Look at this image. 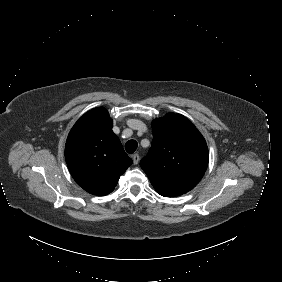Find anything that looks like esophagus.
Masks as SVG:
<instances>
[{
	"label": "esophagus",
	"mask_w": 282,
	"mask_h": 282,
	"mask_svg": "<svg viewBox=\"0 0 282 282\" xmlns=\"http://www.w3.org/2000/svg\"><path fill=\"white\" fill-rule=\"evenodd\" d=\"M133 162L135 165H137L139 162V155L137 153L133 154Z\"/></svg>",
	"instance_id": "esophagus-1"
}]
</instances>
